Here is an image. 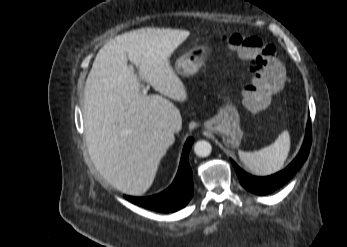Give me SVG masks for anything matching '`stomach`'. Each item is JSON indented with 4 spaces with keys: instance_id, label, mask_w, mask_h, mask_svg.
<instances>
[{
    "instance_id": "1",
    "label": "stomach",
    "mask_w": 347,
    "mask_h": 247,
    "mask_svg": "<svg viewBox=\"0 0 347 247\" xmlns=\"http://www.w3.org/2000/svg\"><path fill=\"white\" fill-rule=\"evenodd\" d=\"M211 49L209 45L193 47L176 61V73L181 76L194 75L208 59ZM204 127L210 132L219 134L224 142L232 147H238L243 137L240 115L228 97L224 99V104L217 114L204 123Z\"/></svg>"
}]
</instances>
